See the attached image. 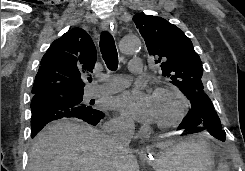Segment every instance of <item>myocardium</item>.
Returning a JSON list of instances; mask_svg holds the SVG:
<instances>
[{"instance_id": "myocardium-1", "label": "myocardium", "mask_w": 245, "mask_h": 171, "mask_svg": "<svg viewBox=\"0 0 245 171\" xmlns=\"http://www.w3.org/2000/svg\"><path fill=\"white\" fill-rule=\"evenodd\" d=\"M162 94L173 96L178 104V108L171 118L166 121L157 122L156 124L157 127L160 129H168L175 126L183 119L188 110V100L180 89L173 86L157 87L153 92V95Z\"/></svg>"}]
</instances>
